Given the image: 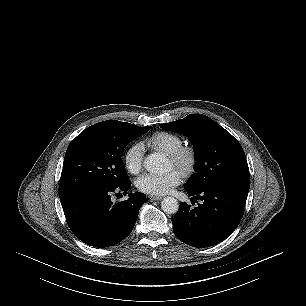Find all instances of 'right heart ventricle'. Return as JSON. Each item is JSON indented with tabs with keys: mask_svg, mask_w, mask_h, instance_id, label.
<instances>
[{
	"mask_svg": "<svg viewBox=\"0 0 306 306\" xmlns=\"http://www.w3.org/2000/svg\"><path fill=\"white\" fill-rule=\"evenodd\" d=\"M143 144L153 150L170 155L183 145V140L178 134L160 131L149 136Z\"/></svg>",
	"mask_w": 306,
	"mask_h": 306,
	"instance_id": "obj_1",
	"label": "right heart ventricle"
}]
</instances>
